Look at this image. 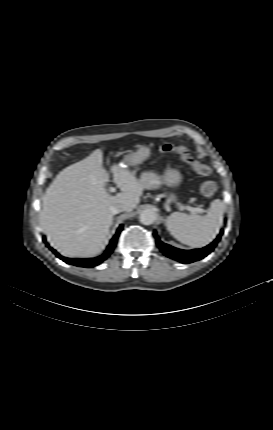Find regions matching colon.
Instances as JSON below:
<instances>
[{"instance_id":"obj_1","label":"colon","mask_w":273,"mask_h":430,"mask_svg":"<svg viewBox=\"0 0 273 430\" xmlns=\"http://www.w3.org/2000/svg\"><path fill=\"white\" fill-rule=\"evenodd\" d=\"M163 153H175L198 175L208 176L211 173L210 168L195 160L190 151L184 146H174L171 144H164L160 147ZM217 186L213 181H205L200 185V192L205 197H211L215 194Z\"/></svg>"}]
</instances>
